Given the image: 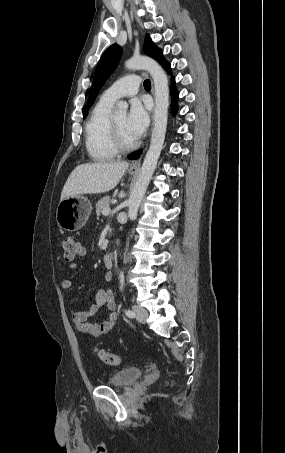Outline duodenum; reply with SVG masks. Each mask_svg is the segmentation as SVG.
I'll return each mask as SVG.
<instances>
[{
  "mask_svg": "<svg viewBox=\"0 0 285 453\" xmlns=\"http://www.w3.org/2000/svg\"><path fill=\"white\" fill-rule=\"evenodd\" d=\"M103 263L107 268H111L113 265V257L110 253H106L103 256Z\"/></svg>",
  "mask_w": 285,
  "mask_h": 453,
  "instance_id": "410a0bca",
  "label": "duodenum"
}]
</instances>
